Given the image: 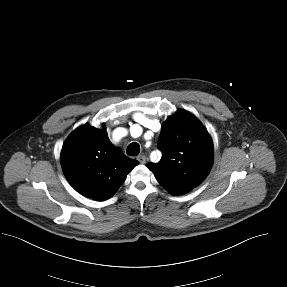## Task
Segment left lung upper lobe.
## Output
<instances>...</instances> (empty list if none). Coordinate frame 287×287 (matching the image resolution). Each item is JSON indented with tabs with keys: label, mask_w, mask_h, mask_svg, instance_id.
<instances>
[{
	"label": "left lung upper lobe",
	"mask_w": 287,
	"mask_h": 287,
	"mask_svg": "<svg viewBox=\"0 0 287 287\" xmlns=\"http://www.w3.org/2000/svg\"><path fill=\"white\" fill-rule=\"evenodd\" d=\"M162 158L148 163L157 181L172 195L198 186L213 164V142L205 127L190 112L179 110L162 124L158 143Z\"/></svg>",
	"instance_id": "1"
}]
</instances>
